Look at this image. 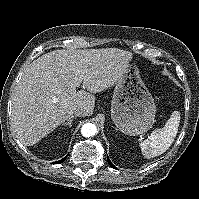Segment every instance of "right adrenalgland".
<instances>
[{
    "label": "right adrenal gland",
    "instance_id": "obj_1",
    "mask_svg": "<svg viewBox=\"0 0 199 199\" xmlns=\"http://www.w3.org/2000/svg\"><path fill=\"white\" fill-rule=\"evenodd\" d=\"M76 117L71 116L66 122H63L62 126H68L69 128L72 126V121L73 119H75Z\"/></svg>",
    "mask_w": 199,
    "mask_h": 199
}]
</instances>
